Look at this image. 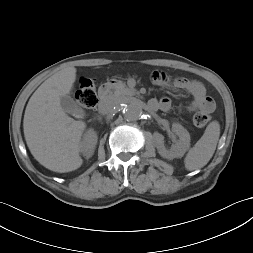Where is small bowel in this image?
Returning a JSON list of instances; mask_svg holds the SVG:
<instances>
[{"label": "small bowel", "mask_w": 253, "mask_h": 253, "mask_svg": "<svg viewBox=\"0 0 253 253\" xmlns=\"http://www.w3.org/2000/svg\"><path fill=\"white\" fill-rule=\"evenodd\" d=\"M153 82L161 87L173 88L182 90L192 96L191 103L186 107L187 112H206L211 113L215 108L214 100L206 93L204 85L196 80H190L183 77L175 78L174 80L163 71H155L152 74ZM152 110L168 111L171 108V100L168 97H163L159 100L152 99L149 102Z\"/></svg>", "instance_id": "c3829d8e"}]
</instances>
